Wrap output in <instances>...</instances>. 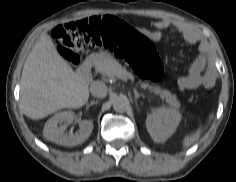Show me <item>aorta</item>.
Returning <instances> with one entry per match:
<instances>
[{"label":"aorta","instance_id":"762f6f07","mask_svg":"<svg viewBox=\"0 0 236 182\" xmlns=\"http://www.w3.org/2000/svg\"><path fill=\"white\" fill-rule=\"evenodd\" d=\"M112 104L117 112H125L129 107V101L125 96L114 97Z\"/></svg>","mask_w":236,"mask_h":182}]
</instances>
